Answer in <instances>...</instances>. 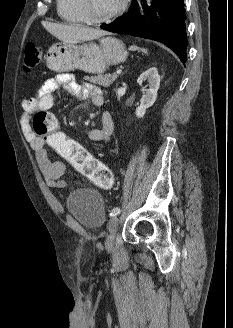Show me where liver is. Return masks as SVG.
<instances>
[{"label": "liver", "mask_w": 233, "mask_h": 328, "mask_svg": "<svg viewBox=\"0 0 233 328\" xmlns=\"http://www.w3.org/2000/svg\"><path fill=\"white\" fill-rule=\"evenodd\" d=\"M42 25L51 35L64 43H80L105 35L104 31L80 25H65L51 22H43Z\"/></svg>", "instance_id": "obj_1"}]
</instances>
